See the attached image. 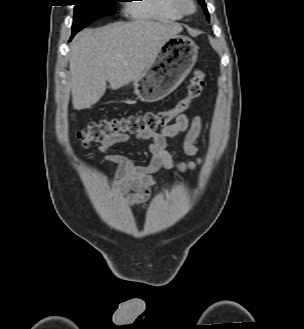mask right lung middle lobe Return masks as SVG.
Listing matches in <instances>:
<instances>
[{
	"instance_id": "dd1d6c3e",
	"label": "right lung middle lobe",
	"mask_w": 304,
	"mask_h": 329,
	"mask_svg": "<svg viewBox=\"0 0 304 329\" xmlns=\"http://www.w3.org/2000/svg\"><path fill=\"white\" fill-rule=\"evenodd\" d=\"M74 20L72 25V37L81 29L98 18L112 14L116 10L118 0H73Z\"/></svg>"
}]
</instances>
